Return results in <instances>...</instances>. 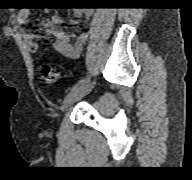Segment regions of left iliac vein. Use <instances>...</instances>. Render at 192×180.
Listing matches in <instances>:
<instances>
[{
	"instance_id": "1",
	"label": "left iliac vein",
	"mask_w": 192,
	"mask_h": 180,
	"mask_svg": "<svg viewBox=\"0 0 192 180\" xmlns=\"http://www.w3.org/2000/svg\"><path fill=\"white\" fill-rule=\"evenodd\" d=\"M95 82H86L85 84L79 86L77 89L72 90L64 99L63 101V107L67 108L71 106L76 101L83 98L85 95H87L93 88Z\"/></svg>"
}]
</instances>
